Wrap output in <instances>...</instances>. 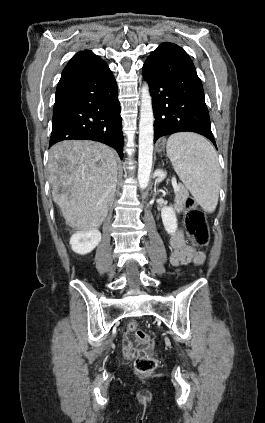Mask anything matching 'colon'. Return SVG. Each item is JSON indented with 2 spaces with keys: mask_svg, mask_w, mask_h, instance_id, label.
<instances>
[{
  "mask_svg": "<svg viewBox=\"0 0 265 423\" xmlns=\"http://www.w3.org/2000/svg\"><path fill=\"white\" fill-rule=\"evenodd\" d=\"M185 229L187 234L200 246H207L209 243V228L206 221L205 213L198 207L196 201L192 197H188L185 201ZM127 330L135 334L141 348L148 349L151 347L150 335L139 329L136 322H129ZM157 367L155 358L142 356L136 359L135 369L139 373H151Z\"/></svg>",
  "mask_w": 265,
  "mask_h": 423,
  "instance_id": "5ec220e1",
  "label": "colon"
}]
</instances>
